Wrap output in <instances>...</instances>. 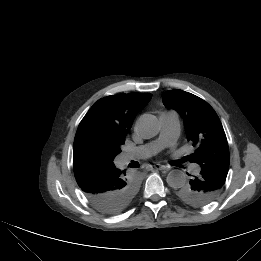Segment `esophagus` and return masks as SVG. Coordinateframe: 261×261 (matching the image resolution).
Wrapping results in <instances>:
<instances>
[{
  "label": "esophagus",
  "mask_w": 261,
  "mask_h": 261,
  "mask_svg": "<svg viewBox=\"0 0 261 261\" xmlns=\"http://www.w3.org/2000/svg\"><path fill=\"white\" fill-rule=\"evenodd\" d=\"M165 169H166V167L164 165L156 164L154 166H151L150 170L153 171V170H165Z\"/></svg>",
  "instance_id": "1"
}]
</instances>
